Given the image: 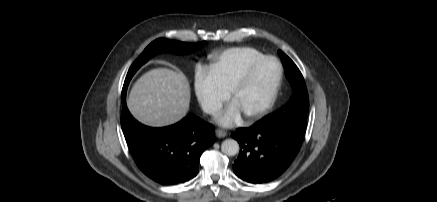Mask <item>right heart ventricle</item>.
<instances>
[{
    "label": "right heart ventricle",
    "mask_w": 437,
    "mask_h": 202,
    "mask_svg": "<svg viewBox=\"0 0 437 202\" xmlns=\"http://www.w3.org/2000/svg\"><path fill=\"white\" fill-rule=\"evenodd\" d=\"M263 56L262 52L253 47H233L214 56L210 68L221 84L230 91L246 68Z\"/></svg>",
    "instance_id": "1"
}]
</instances>
